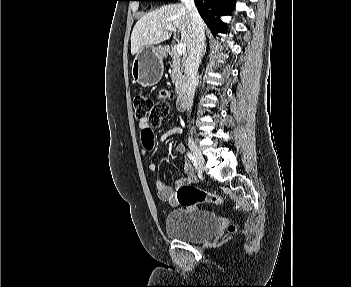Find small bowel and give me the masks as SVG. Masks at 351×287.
Listing matches in <instances>:
<instances>
[{
  "label": "small bowel",
  "mask_w": 351,
  "mask_h": 287,
  "mask_svg": "<svg viewBox=\"0 0 351 287\" xmlns=\"http://www.w3.org/2000/svg\"><path fill=\"white\" fill-rule=\"evenodd\" d=\"M138 125L141 130V133H140L141 145H143L144 147L142 149V156H155L156 150H153L154 142H156V136H154V133L156 130L155 127H150V124L148 123L147 118H141L139 120ZM181 133H182V128L178 125H175L171 127L169 130L165 131L163 134H161V136L159 137V140L165 141L170 136L180 135ZM175 150L177 153L183 154L185 152L184 144L177 143L175 146ZM156 168L157 167L155 163L150 162L147 164V169L150 172H155ZM183 171L185 175L176 181L177 187H180L185 184L193 183L196 180L192 163L188 159L184 160ZM155 188H156L158 197L161 200L169 202L171 205H174V206L178 204L175 191L170 186H168L162 179L155 180Z\"/></svg>",
  "instance_id": "obj_1"
}]
</instances>
